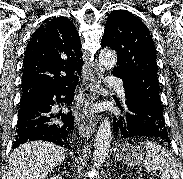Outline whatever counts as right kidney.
I'll return each mask as SVG.
<instances>
[{"mask_svg":"<svg viewBox=\"0 0 183 179\" xmlns=\"http://www.w3.org/2000/svg\"><path fill=\"white\" fill-rule=\"evenodd\" d=\"M50 179H62V176L57 175V176H53V177H51Z\"/></svg>","mask_w":183,"mask_h":179,"instance_id":"obj_1","label":"right kidney"}]
</instances>
